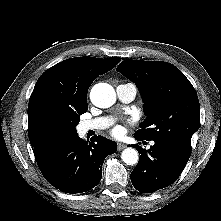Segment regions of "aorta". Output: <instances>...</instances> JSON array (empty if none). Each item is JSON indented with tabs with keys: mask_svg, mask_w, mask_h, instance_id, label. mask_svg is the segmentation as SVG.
I'll return each instance as SVG.
<instances>
[{
	"mask_svg": "<svg viewBox=\"0 0 221 221\" xmlns=\"http://www.w3.org/2000/svg\"><path fill=\"white\" fill-rule=\"evenodd\" d=\"M91 102L100 108H108L116 101L114 88L107 83H98L94 85L90 92ZM121 159L127 165H135L138 162V152L134 148H126L122 151Z\"/></svg>",
	"mask_w": 221,
	"mask_h": 221,
	"instance_id": "762f6f07",
	"label": "aorta"
}]
</instances>
